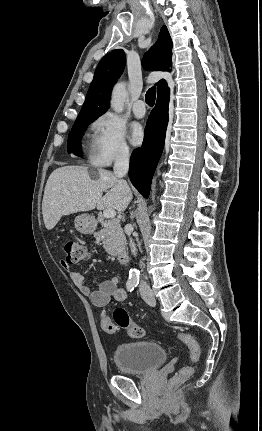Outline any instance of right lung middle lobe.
<instances>
[{"mask_svg": "<svg viewBox=\"0 0 262 431\" xmlns=\"http://www.w3.org/2000/svg\"><path fill=\"white\" fill-rule=\"evenodd\" d=\"M96 118H77L72 130L68 135V152H73L75 155H81V137L85 129Z\"/></svg>", "mask_w": 262, "mask_h": 431, "instance_id": "dd1d6c3e", "label": "right lung middle lobe"}]
</instances>
